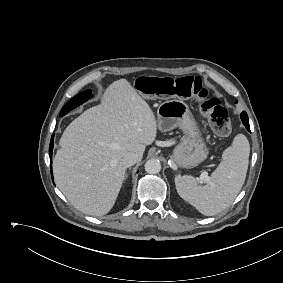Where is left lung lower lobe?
I'll return each mask as SVG.
<instances>
[{"label": "left lung lower lobe", "instance_id": "1", "mask_svg": "<svg viewBox=\"0 0 283 283\" xmlns=\"http://www.w3.org/2000/svg\"><path fill=\"white\" fill-rule=\"evenodd\" d=\"M240 116H241L243 124L246 126L247 130L250 131L249 119H248L247 113L243 111Z\"/></svg>", "mask_w": 283, "mask_h": 283}]
</instances>
